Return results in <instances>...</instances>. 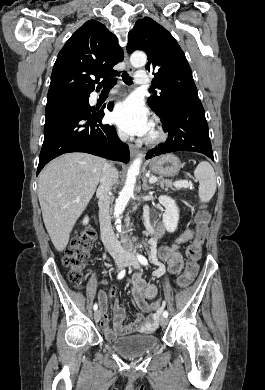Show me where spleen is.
<instances>
[{"label": "spleen", "mask_w": 265, "mask_h": 390, "mask_svg": "<svg viewBox=\"0 0 265 390\" xmlns=\"http://www.w3.org/2000/svg\"><path fill=\"white\" fill-rule=\"evenodd\" d=\"M199 181V198L202 202H209L216 191V176L213 167L207 161L198 164L194 171Z\"/></svg>", "instance_id": "spleen-1"}]
</instances>
